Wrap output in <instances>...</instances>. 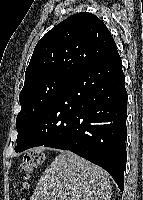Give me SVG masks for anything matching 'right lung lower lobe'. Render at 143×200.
<instances>
[{
    "label": "right lung lower lobe",
    "mask_w": 143,
    "mask_h": 200,
    "mask_svg": "<svg viewBox=\"0 0 143 200\" xmlns=\"http://www.w3.org/2000/svg\"><path fill=\"white\" fill-rule=\"evenodd\" d=\"M126 102L122 61L115 50L70 77L19 152L41 145L70 150L104 168L123 191Z\"/></svg>",
    "instance_id": "obj_1"
}]
</instances>
